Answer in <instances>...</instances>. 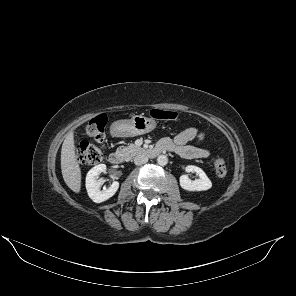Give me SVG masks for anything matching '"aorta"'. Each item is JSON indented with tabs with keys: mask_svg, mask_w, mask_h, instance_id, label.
Segmentation results:
<instances>
[{
	"mask_svg": "<svg viewBox=\"0 0 296 296\" xmlns=\"http://www.w3.org/2000/svg\"><path fill=\"white\" fill-rule=\"evenodd\" d=\"M157 163L161 166H165L168 163V158L166 155H160L157 158Z\"/></svg>",
	"mask_w": 296,
	"mask_h": 296,
	"instance_id": "1",
	"label": "aorta"
}]
</instances>
